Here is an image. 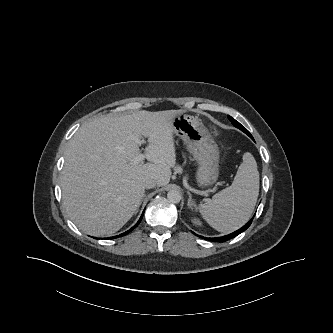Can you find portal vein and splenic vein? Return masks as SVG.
Returning <instances> with one entry per match:
<instances>
[{
	"label": "portal vein and splenic vein",
	"mask_w": 333,
	"mask_h": 333,
	"mask_svg": "<svg viewBox=\"0 0 333 333\" xmlns=\"http://www.w3.org/2000/svg\"><path fill=\"white\" fill-rule=\"evenodd\" d=\"M141 143H145L144 141H140V144ZM146 157H145V155L144 154H138V155H136L134 158H133V160H132V164H139V163H141V162H143V160L145 159Z\"/></svg>",
	"instance_id": "1"
}]
</instances>
